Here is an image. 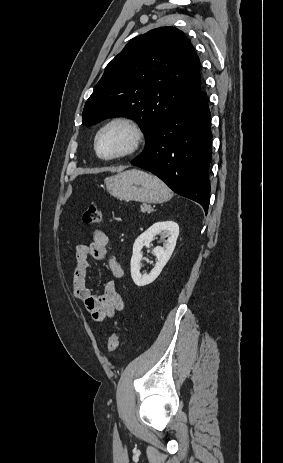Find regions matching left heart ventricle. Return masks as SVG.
Wrapping results in <instances>:
<instances>
[{
	"label": "left heart ventricle",
	"instance_id": "obj_1",
	"mask_svg": "<svg viewBox=\"0 0 283 463\" xmlns=\"http://www.w3.org/2000/svg\"><path fill=\"white\" fill-rule=\"evenodd\" d=\"M131 141V133L123 126L106 130L99 138L98 150L102 156H112L125 150Z\"/></svg>",
	"mask_w": 283,
	"mask_h": 463
}]
</instances>
